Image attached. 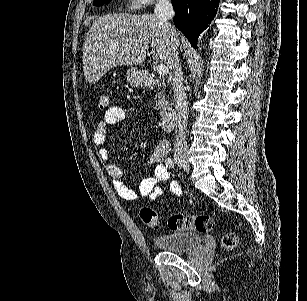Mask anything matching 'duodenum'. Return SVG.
I'll list each match as a JSON object with an SVG mask.
<instances>
[{"label":"duodenum","mask_w":307,"mask_h":301,"mask_svg":"<svg viewBox=\"0 0 307 301\" xmlns=\"http://www.w3.org/2000/svg\"><path fill=\"white\" fill-rule=\"evenodd\" d=\"M143 82L148 86L156 85L162 88L166 87L165 82L157 80L150 75H144ZM160 123L165 131H170L174 128L176 123V114L172 107L163 108V110L161 111Z\"/></svg>","instance_id":"1"}]
</instances>
